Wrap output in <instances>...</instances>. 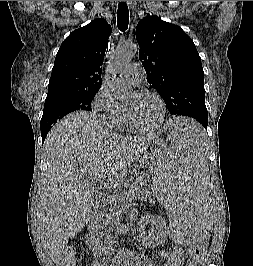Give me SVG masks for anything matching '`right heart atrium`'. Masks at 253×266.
<instances>
[{
	"label": "right heart atrium",
	"mask_w": 253,
	"mask_h": 266,
	"mask_svg": "<svg viewBox=\"0 0 253 266\" xmlns=\"http://www.w3.org/2000/svg\"><path fill=\"white\" fill-rule=\"evenodd\" d=\"M91 108L99 119L109 126H115V122L123 114L122 107L105 84H102L95 93L91 102Z\"/></svg>",
	"instance_id": "right-heart-atrium-1"
}]
</instances>
